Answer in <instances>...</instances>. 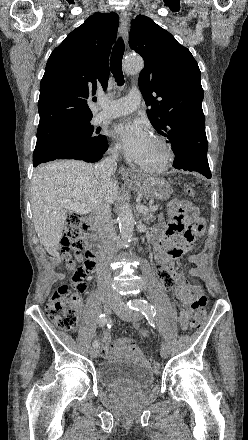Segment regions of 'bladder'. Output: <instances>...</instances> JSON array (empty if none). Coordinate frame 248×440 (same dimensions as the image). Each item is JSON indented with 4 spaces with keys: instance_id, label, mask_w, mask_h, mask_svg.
I'll return each mask as SVG.
<instances>
[{
    "instance_id": "bladder-1",
    "label": "bladder",
    "mask_w": 248,
    "mask_h": 440,
    "mask_svg": "<svg viewBox=\"0 0 248 440\" xmlns=\"http://www.w3.org/2000/svg\"><path fill=\"white\" fill-rule=\"evenodd\" d=\"M98 382L109 389L142 390L150 387L155 379L154 370L138 362L110 359L96 368Z\"/></svg>"
}]
</instances>
